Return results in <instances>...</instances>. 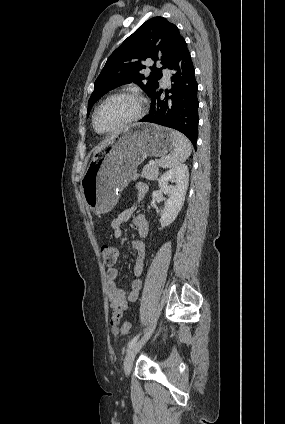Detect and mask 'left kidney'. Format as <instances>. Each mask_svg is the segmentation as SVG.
<instances>
[{
	"instance_id": "left-kidney-1",
	"label": "left kidney",
	"mask_w": 285,
	"mask_h": 424,
	"mask_svg": "<svg viewBox=\"0 0 285 424\" xmlns=\"http://www.w3.org/2000/svg\"><path fill=\"white\" fill-rule=\"evenodd\" d=\"M169 182L175 185H169ZM189 182V171L185 164L166 171L158 180L160 190L168 195L159 220L161 228L170 225L182 209Z\"/></svg>"
}]
</instances>
